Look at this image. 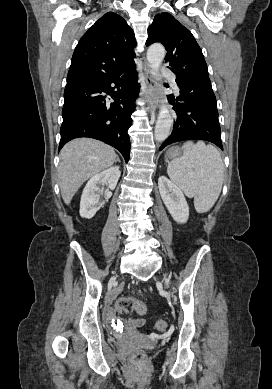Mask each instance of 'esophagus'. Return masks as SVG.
<instances>
[{
  "mask_svg": "<svg viewBox=\"0 0 272 389\" xmlns=\"http://www.w3.org/2000/svg\"><path fill=\"white\" fill-rule=\"evenodd\" d=\"M145 85L144 97L148 102H151L155 109L159 107V99L155 92V81L153 78L152 70L148 64L144 67Z\"/></svg>",
  "mask_w": 272,
  "mask_h": 389,
  "instance_id": "1",
  "label": "esophagus"
}]
</instances>
